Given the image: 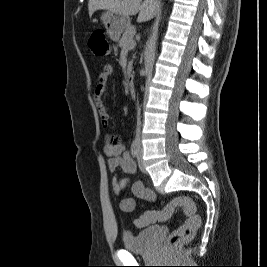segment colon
Masks as SVG:
<instances>
[{
    "label": "colon",
    "instance_id": "5ec220e1",
    "mask_svg": "<svg viewBox=\"0 0 267 267\" xmlns=\"http://www.w3.org/2000/svg\"><path fill=\"white\" fill-rule=\"evenodd\" d=\"M88 44L91 51L96 56L104 57L110 53V44L101 31L93 32L89 38ZM179 208L185 213L186 220L165 239L166 247L174 248L190 241L201 223L196 205L190 197L177 196L161 210L144 212L135 220V225L137 227H145L155 222L165 221L171 218L176 209Z\"/></svg>",
    "mask_w": 267,
    "mask_h": 267
}]
</instances>
